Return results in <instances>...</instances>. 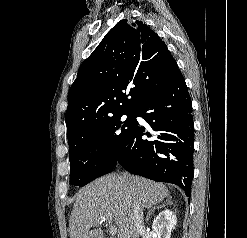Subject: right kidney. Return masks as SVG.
Here are the masks:
<instances>
[{"instance_id": "ca27d5eb", "label": "right kidney", "mask_w": 247, "mask_h": 238, "mask_svg": "<svg viewBox=\"0 0 247 238\" xmlns=\"http://www.w3.org/2000/svg\"><path fill=\"white\" fill-rule=\"evenodd\" d=\"M177 223L176 215L169 209L161 211L153 220L152 228L157 238H170Z\"/></svg>"}]
</instances>
